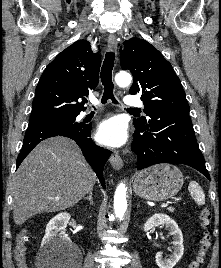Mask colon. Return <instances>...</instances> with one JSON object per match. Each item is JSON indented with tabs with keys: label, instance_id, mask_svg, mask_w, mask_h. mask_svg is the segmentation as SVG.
Returning <instances> with one entry per match:
<instances>
[{
	"label": "colon",
	"instance_id": "colon-1",
	"mask_svg": "<svg viewBox=\"0 0 221 268\" xmlns=\"http://www.w3.org/2000/svg\"><path fill=\"white\" fill-rule=\"evenodd\" d=\"M199 219L201 227L203 228V235L196 256L190 262L188 268H201V266L205 262V259L208 255V251L211 247V240H212L210 232L211 212L209 208L202 209ZM27 240H28L27 232L23 231L17 240V245L15 248V255L19 268H28V265L26 264L25 261V249H26L25 244Z\"/></svg>",
	"mask_w": 221,
	"mask_h": 268
}]
</instances>
